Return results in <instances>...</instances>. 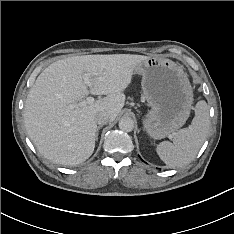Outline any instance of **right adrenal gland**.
Listing matches in <instances>:
<instances>
[{"label":"right adrenal gland","mask_w":234,"mask_h":234,"mask_svg":"<svg viewBox=\"0 0 234 234\" xmlns=\"http://www.w3.org/2000/svg\"><path fill=\"white\" fill-rule=\"evenodd\" d=\"M100 128H101V126H98L97 129H96V140H98V132H99Z\"/></svg>","instance_id":"2a0ac1e0"}]
</instances>
